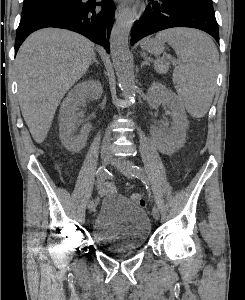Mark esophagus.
Listing matches in <instances>:
<instances>
[{"instance_id":"obj_1","label":"esophagus","mask_w":245,"mask_h":300,"mask_svg":"<svg viewBox=\"0 0 245 300\" xmlns=\"http://www.w3.org/2000/svg\"><path fill=\"white\" fill-rule=\"evenodd\" d=\"M124 10H125V4L124 3L119 4L115 12V17L118 18Z\"/></svg>"}]
</instances>
